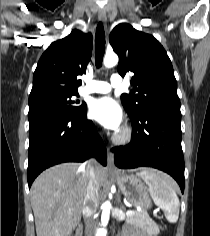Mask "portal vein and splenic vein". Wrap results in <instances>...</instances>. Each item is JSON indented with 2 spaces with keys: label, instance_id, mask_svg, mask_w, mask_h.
I'll use <instances>...</instances> for the list:
<instances>
[{
  "label": "portal vein and splenic vein",
  "instance_id": "obj_1",
  "mask_svg": "<svg viewBox=\"0 0 210 236\" xmlns=\"http://www.w3.org/2000/svg\"><path fill=\"white\" fill-rule=\"evenodd\" d=\"M135 212L133 210H127L126 211V216H130V215H133Z\"/></svg>",
  "mask_w": 210,
  "mask_h": 236
}]
</instances>
